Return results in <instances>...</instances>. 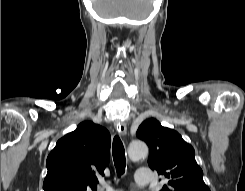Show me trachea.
<instances>
[{"label":"trachea","instance_id":"3493384b","mask_svg":"<svg viewBox=\"0 0 245 191\" xmlns=\"http://www.w3.org/2000/svg\"><path fill=\"white\" fill-rule=\"evenodd\" d=\"M112 154L117 174L121 176L125 172L126 158L123 143L118 136H115L113 139Z\"/></svg>","mask_w":245,"mask_h":191}]
</instances>
